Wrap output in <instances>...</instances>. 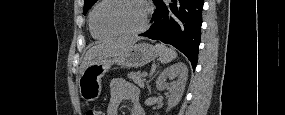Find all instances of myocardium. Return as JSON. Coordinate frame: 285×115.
Listing matches in <instances>:
<instances>
[{"instance_id":"f54148a6","label":"myocardium","mask_w":285,"mask_h":115,"mask_svg":"<svg viewBox=\"0 0 285 115\" xmlns=\"http://www.w3.org/2000/svg\"><path fill=\"white\" fill-rule=\"evenodd\" d=\"M109 1H117V0H103L100 1L92 10L91 14H90V21L91 24L93 26V28L104 35H109V36H120V37H131V36H136L139 35L141 33H143L147 28H148V24H149V16H150V6L148 4L147 1L145 0H129V1H135L137 3H139L142 8H143V23L142 26L140 28H138L137 30L131 31V32H121V31H115V30H111V29H107V28H103L102 26H100L97 23L96 20V14L98 12V10L100 9V7L102 5H104L105 3L109 2Z\"/></svg>"}]
</instances>
